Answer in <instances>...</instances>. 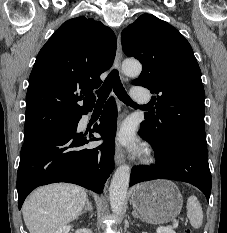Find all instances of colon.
I'll use <instances>...</instances> for the list:
<instances>
[{"mask_svg":"<svg viewBox=\"0 0 227 233\" xmlns=\"http://www.w3.org/2000/svg\"><path fill=\"white\" fill-rule=\"evenodd\" d=\"M185 233H192L190 230H186Z\"/></svg>","mask_w":227,"mask_h":233,"instance_id":"5ec220e1","label":"colon"}]
</instances>
